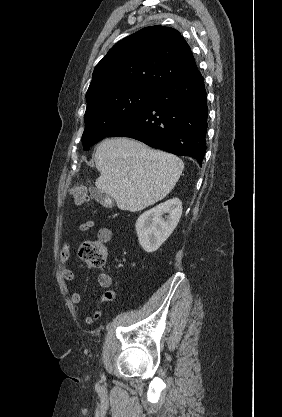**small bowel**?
Listing matches in <instances>:
<instances>
[{"label":"small bowel","mask_w":282,"mask_h":417,"mask_svg":"<svg viewBox=\"0 0 282 417\" xmlns=\"http://www.w3.org/2000/svg\"><path fill=\"white\" fill-rule=\"evenodd\" d=\"M96 223L94 220H87L83 223H81L77 227V232H86L88 230H91L95 227ZM98 237L101 241L105 243H110L113 240V234L112 231L107 227H101L98 231ZM70 258V245L69 243H66L63 248L60 251L59 254V262H60V269L62 276L67 281H73L75 279V273L73 270H71L68 266V260ZM98 284L99 286L105 290L103 295L101 296L99 300V304L108 302L113 300L116 297V292L113 290H110L112 279L109 274L107 273H100L98 276ZM70 299L72 303L74 304H80L82 302V296L79 292H72L70 295ZM100 309L99 307L94 310L93 312L89 313L86 318L85 322L87 324H93L97 321V319L100 316Z\"/></svg>","instance_id":"c3829d8e"}]
</instances>
